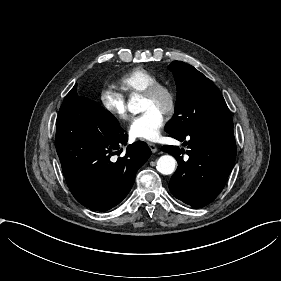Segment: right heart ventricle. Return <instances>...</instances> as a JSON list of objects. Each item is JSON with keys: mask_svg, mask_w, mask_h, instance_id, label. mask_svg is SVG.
<instances>
[{"mask_svg": "<svg viewBox=\"0 0 281 281\" xmlns=\"http://www.w3.org/2000/svg\"><path fill=\"white\" fill-rule=\"evenodd\" d=\"M155 75L144 67H135L121 76L118 80V87L124 95L132 97L134 94L145 92L151 86L158 84Z\"/></svg>", "mask_w": 281, "mask_h": 281, "instance_id": "1", "label": "right heart ventricle"}]
</instances>
